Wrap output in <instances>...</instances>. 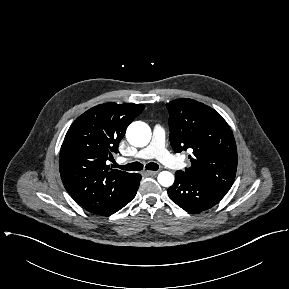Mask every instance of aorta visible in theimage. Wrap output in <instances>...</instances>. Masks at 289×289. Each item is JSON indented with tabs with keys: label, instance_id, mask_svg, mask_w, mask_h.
Segmentation results:
<instances>
[{
	"label": "aorta",
	"instance_id": "762f6f07",
	"mask_svg": "<svg viewBox=\"0 0 289 289\" xmlns=\"http://www.w3.org/2000/svg\"><path fill=\"white\" fill-rule=\"evenodd\" d=\"M151 135L150 127L142 121L131 123L126 131V138L134 147L146 146L151 140ZM157 180L161 186L170 187L174 183V175L169 171H162L158 174Z\"/></svg>",
	"mask_w": 289,
	"mask_h": 289
}]
</instances>
